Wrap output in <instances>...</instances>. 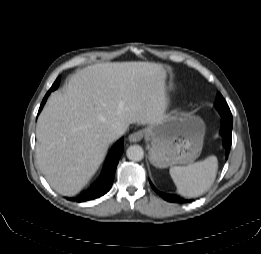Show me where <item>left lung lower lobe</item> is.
<instances>
[{"instance_id": "1", "label": "left lung lower lobe", "mask_w": 261, "mask_h": 254, "mask_svg": "<svg viewBox=\"0 0 261 254\" xmlns=\"http://www.w3.org/2000/svg\"><path fill=\"white\" fill-rule=\"evenodd\" d=\"M222 120H223V128L221 131V136L223 137L225 144L224 147L227 151V153H229L230 151V147H231V137H232V124H233V118L232 115H227V114H221ZM228 158V156L226 157V159ZM152 188L165 200L169 201V202H175V203H187L190 200H186L183 199L177 195L174 194H165V193H161L159 192L152 184H151Z\"/></svg>"}]
</instances>
